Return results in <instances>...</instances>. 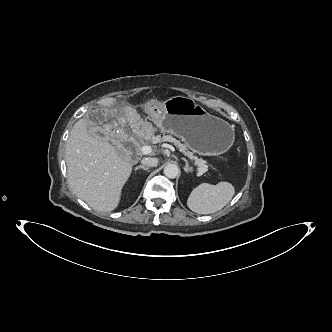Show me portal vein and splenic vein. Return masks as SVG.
Here are the masks:
<instances>
[{"label": "portal vein and splenic vein", "mask_w": 332, "mask_h": 332, "mask_svg": "<svg viewBox=\"0 0 332 332\" xmlns=\"http://www.w3.org/2000/svg\"><path fill=\"white\" fill-rule=\"evenodd\" d=\"M163 147H167V148H169L171 151H174L175 149H174V147L172 146V145H163ZM141 152H142V154H144V155H148V154H150L151 152H152V148H151V146H149V145H145V146H143L142 148H141ZM185 154V153H184ZM186 155V154H185ZM204 171L205 170H199L198 172H197V176H201L203 173H204Z\"/></svg>", "instance_id": "obj_1"}]
</instances>
